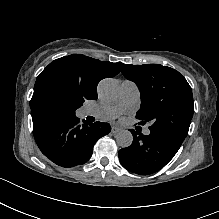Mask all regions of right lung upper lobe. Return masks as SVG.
I'll return each mask as SVG.
<instances>
[{
    "instance_id": "1",
    "label": "right lung upper lobe",
    "mask_w": 219,
    "mask_h": 219,
    "mask_svg": "<svg viewBox=\"0 0 219 219\" xmlns=\"http://www.w3.org/2000/svg\"><path fill=\"white\" fill-rule=\"evenodd\" d=\"M122 67L123 63L99 61L81 54L56 59L37 77L32 99L45 83L59 81L78 91L84 101L96 100L98 83L114 77ZM31 102V110H34Z\"/></svg>"
}]
</instances>
